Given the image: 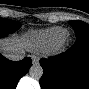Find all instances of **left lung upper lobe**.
<instances>
[{"mask_svg":"<svg viewBox=\"0 0 89 89\" xmlns=\"http://www.w3.org/2000/svg\"><path fill=\"white\" fill-rule=\"evenodd\" d=\"M69 24L74 28L76 37H89V25L83 21H69Z\"/></svg>","mask_w":89,"mask_h":89,"instance_id":"1","label":"left lung upper lobe"}]
</instances>
